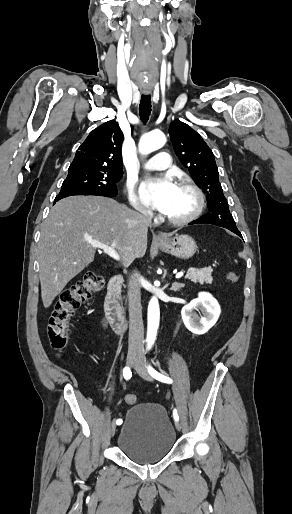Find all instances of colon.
<instances>
[{
	"mask_svg": "<svg viewBox=\"0 0 292 514\" xmlns=\"http://www.w3.org/2000/svg\"><path fill=\"white\" fill-rule=\"evenodd\" d=\"M229 276L233 280L236 279L232 273ZM102 285L103 277L95 272H89L82 280L61 293L47 326L48 340L52 349L56 352L60 353L68 345L69 328L76 309L91 294L100 290ZM124 400L128 405L137 404V397L135 395H126Z\"/></svg>",
	"mask_w": 292,
	"mask_h": 514,
	"instance_id": "colon-1",
	"label": "colon"
}]
</instances>
